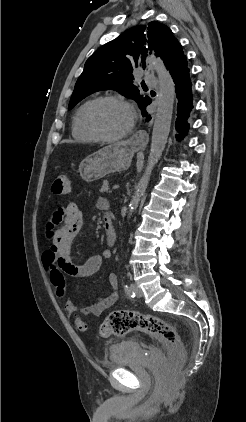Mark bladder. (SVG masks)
Wrapping results in <instances>:
<instances>
[{
  "label": "bladder",
  "mask_w": 246,
  "mask_h": 422,
  "mask_svg": "<svg viewBox=\"0 0 246 422\" xmlns=\"http://www.w3.org/2000/svg\"><path fill=\"white\" fill-rule=\"evenodd\" d=\"M109 365L113 368L127 367L138 362L142 348L137 340L126 339L110 345L108 349ZM153 363L158 368L166 365L165 354L160 349L151 351Z\"/></svg>",
  "instance_id": "obj_1"
}]
</instances>
